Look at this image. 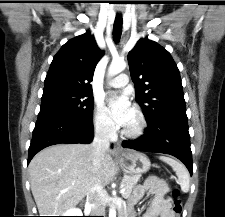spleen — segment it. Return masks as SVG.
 Returning a JSON list of instances; mask_svg holds the SVG:
<instances>
[{
    "label": "spleen",
    "mask_w": 225,
    "mask_h": 217,
    "mask_svg": "<svg viewBox=\"0 0 225 217\" xmlns=\"http://www.w3.org/2000/svg\"><path fill=\"white\" fill-rule=\"evenodd\" d=\"M159 159L169 164L172 167V169L176 172V175L178 176L181 190L183 192H188L190 187V184H189L190 179H189V173L186 167L182 163L168 156H160Z\"/></svg>",
    "instance_id": "obj_1"
}]
</instances>
